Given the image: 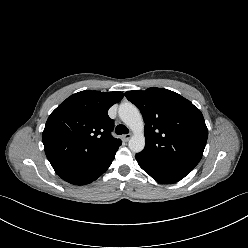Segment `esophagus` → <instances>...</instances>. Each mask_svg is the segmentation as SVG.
Here are the masks:
<instances>
[{
	"label": "esophagus",
	"instance_id": "1",
	"mask_svg": "<svg viewBox=\"0 0 248 248\" xmlns=\"http://www.w3.org/2000/svg\"><path fill=\"white\" fill-rule=\"evenodd\" d=\"M122 138L124 141H128L131 138V134H125V135H123Z\"/></svg>",
	"mask_w": 248,
	"mask_h": 248
}]
</instances>
